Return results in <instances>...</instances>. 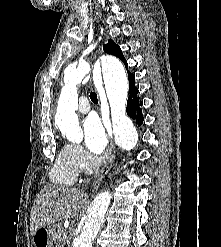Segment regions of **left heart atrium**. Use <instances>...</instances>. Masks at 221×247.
Masks as SVG:
<instances>
[{"label":"left heart atrium","mask_w":221,"mask_h":247,"mask_svg":"<svg viewBox=\"0 0 221 247\" xmlns=\"http://www.w3.org/2000/svg\"><path fill=\"white\" fill-rule=\"evenodd\" d=\"M84 143L86 148L94 153H102L108 143V138L98 118L88 117L83 123Z\"/></svg>","instance_id":"39dd6f15"}]
</instances>
